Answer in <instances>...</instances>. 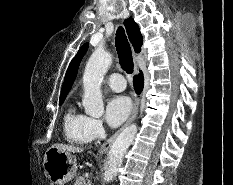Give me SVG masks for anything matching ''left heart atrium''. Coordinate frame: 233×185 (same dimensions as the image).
Instances as JSON below:
<instances>
[{"label": "left heart atrium", "instance_id": "obj_1", "mask_svg": "<svg viewBox=\"0 0 233 185\" xmlns=\"http://www.w3.org/2000/svg\"><path fill=\"white\" fill-rule=\"evenodd\" d=\"M131 111V102L123 95L113 96L107 103L105 118L112 127H117L123 123Z\"/></svg>", "mask_w": 233, "mask_h": 185}]
</instances>
